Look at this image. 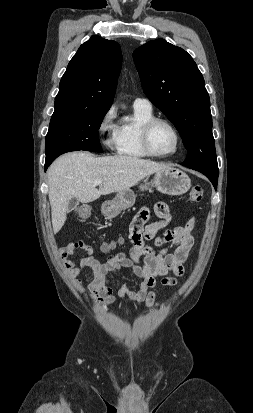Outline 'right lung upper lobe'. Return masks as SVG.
<instances>
[{
  "instance_id": "1",
  "label": "right lung upper lobe",
  "mask_w": 253,
  "mask_h": 413,
  "mask_svg": "<svg viewBox=\"0 0 253 413\" xmlns=\"http://www.w3.org/2000/svg\"><path fill=\"white\" fill-rule=\"evenodd\" d=\"M121 64L120 45L93 35L69 62L59 84L52 116L109 110Z\"/></svg>"
}]
</instances>
